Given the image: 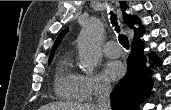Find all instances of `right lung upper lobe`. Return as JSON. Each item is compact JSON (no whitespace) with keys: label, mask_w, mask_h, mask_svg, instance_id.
Wrapping results in <instances>:
<instances>
[{"label":"right lung upper lobe","mask_w":171,"mask_h":110,"mask_svg":"<svg viewBox=\"0 0 171 110\" xmlns=\"http://www.w3.org/2000/svg\"><path fill=\"white\" fill-rule=\"evenodd\" d=\"M120 5H121V9H122L123 11L127 8V6H126V4L124 3V1H120ZM123 18H124L125 23H126L128 26H130L131 28L134 29V32H135L134 40L137 39V38H139V35L144 31V28H143V27H140L139 29H135V28L133 27V24L139 23L138 18H137V17L130 16V15L124 13V12H123ZM67 31H68V29L62 31V32L59 34V36L57 37V39H56V41H55V43H54V45H53V47H52V50H51V52H50V56H54V52H55L56 48L59 46L61 40L63 39V37H64V35L67 33Z\"/></svg>","instance_id":"right-lung-upper-lobe-1"}]
</instances>
